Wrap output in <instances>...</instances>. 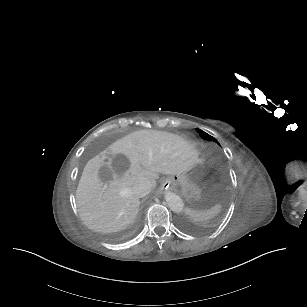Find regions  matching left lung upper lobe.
<instances>
[{
    "label": "left lung upper lobe",
    "instance_id": "left-lung-upper-lobe-1",
    "mask_svg": "<svg viewBox=\"0 0 307 307\" xmlns=\"http://www.w3.org/2000/svg\"><path fill=\"white\" fill-rule=\"evenodd\" d=\"M197 132L200 134V136L203 139H205V140H213V141L217 142V140L214 137L210 136L209 134L205 133L204 131H202L200 129H197Z\"/></svg>",
    "mask_w": 307,
    "mask_h": 307
}]
</instances>
